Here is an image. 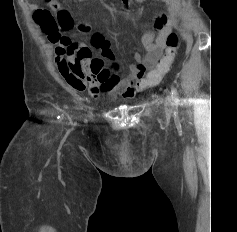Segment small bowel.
I'll return each instance as SVG.
<instances>
[{"label":"small bowel","mask_w":237,"mask_h":232,"mask_svg":"<svg viewBox=\"0 0 237 232\" xmlns=\"http://www.w3.org/2000/svg\"><path fill=\"white\" fill-rule=\"evenodd\" d=\"M162 1L167 4L168 10L156 19V32L144 36L146 55H133L134 64L127 77L122 76L109 41L100 33L93 35L89 46L72 41L60 44L54 55L59 73L71 87L87 91L93 98L101 93L123 98L136 96L148 87L144 76L160 59L180 10V0ZM93 52L99 53L101 57H93Z\"/></svg>","instance_id":"obj_1"}]
</instances>
